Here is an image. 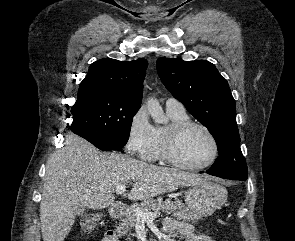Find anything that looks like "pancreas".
<instances>
[{"label":"pancreas","mask_w":295,"mask_h":241,"mask_svg":"<svg viewBox=\"0 0 295 241\" xmlns=\"http://www.w3.org/2000/svg\"><path fill=\"white\" fill-rule=\"evenodd\" d=\"M139 208L143 212L154 211L159 213L160 211H166L173 213V216L179 220L195 223L199 217L190 211L181 201L170 200H146L140 204H134L127 208L124 213L125 218L121 220V223L116 226V232L119 236L126 235L136 225L137 218L135 210ZM130 240V238H128Z\"/></svg>","instance_id":"pancreas-1"}]
</instances>
